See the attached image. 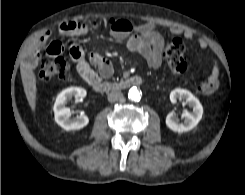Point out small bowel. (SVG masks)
Returning a JSON list of instances; mask_svg holds the SVG:
<instances>
[{
  "instance_id": "small-bowel-1",
  "label": "small bowel",
  "mask_w": 245,
  "mask_h": 195,
  "mask_svg": "<svg viewBox=\"0 0 245 195\" xmlns=\"http://www.w3.org/2000/svg\"><path fill=\"white\" fill-rule=\"evenodd\" d=\"M102 25L109 28L112 35L117 39L127 37V47L130 51L137 52L145 60L150 68L157 69L163 62V36L157 31L153 23H144L133 25L130 21L124 19L107 18L102 21ZM99 26L97 22L82 24L75 21H66L60 24L59 31L68 36H81L87 34L90 30ZM170 33L173 35H182L185 39L192 40L195 34L191 30H183L179 27H171ZM50 32H45L39 36L33 43L29 54L28 62L35 66L40 57V50L49 40ZM200 48L206 49L208 42L202 37H196ZM64 50L63 45L58 41L50 42L47 46V52L51 56H58ZM70 55L76 63L78 74L89 84H94L102 78L112 76L114 69L112 63L99 53H91L86 56L79 44H73L70 48ZM220 84L219 66L214 62L208 78L197 85V91L203 95L214 93Z\"/></svg>"
}]
</instances>
